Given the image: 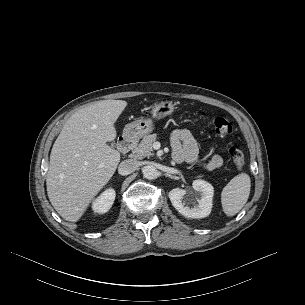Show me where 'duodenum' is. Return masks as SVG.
I'll list each match as a JSON object with an SVG mask.
<instances>
[{
	"instance_id": "obj_1",
	"label": "duodenum",
	"mask_w": 305,
	"mask_h": 305,
	"mask_svg": "<svg viewBox=\"0 0 305 305\" xmlns=\"http://www.w3.org/2000/svg\"><path fill=\"white\" fill-rule=\"evenodd\" d=\"M134 144V138L129 135L121 137L118 141L117 147L121 153L128 152Z\"/></svg>"
}]
</instances>
